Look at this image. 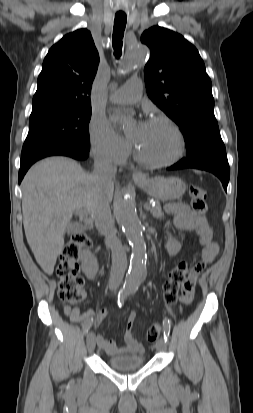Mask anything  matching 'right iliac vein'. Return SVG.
I'll list each match as a JSON object with an SVG mask.
<instances>
[{"label": "right iliac vein", "mask_w": 253, "mask_h": 413, "mask_svg": "<svg viewBox=\"0 0 253 413\" xmlns=\"http://www.w3.org/2000/svg\"><path fill=\"white\" fill-rule=\"evenodd\" d=\"M87 348L89 352H92L95 349L96 345V340H95V334L93 332H89L87 334Z\"/></svg>", "instance_id": "1"}]
</instances>
